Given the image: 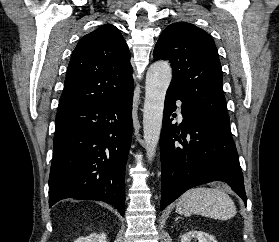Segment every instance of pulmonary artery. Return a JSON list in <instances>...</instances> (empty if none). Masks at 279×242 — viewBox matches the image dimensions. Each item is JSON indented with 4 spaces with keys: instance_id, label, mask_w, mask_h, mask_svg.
<instances>
[{
    "instance_id": "e3ab8cb5",
    "label": "pulmonary artery",
    "mask_w": 279,
    "mask_h": 242,
    "mask_svg": "<svg viewBox=\"0 0 279 242\" xmlns=\"http://www.w3.org/2000/svg\"><path fill=\"white\" fill-rule=\"evenodd\" d=\"M178 115H179V117H182V113H181L180 109L178 110Z\"/></svg>"
}]
</instances>
